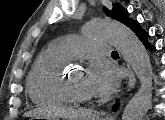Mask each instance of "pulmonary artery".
Listing matches in <instances>:
<instances>
[{
	"label": "pulmonary artery",
	"instance_id": "obj_1",
	"mask_svg": "<svg viewBox=\"0 0 165 120\" xmlns=\"http://www.w3.org/2000/svg\"><path fill=\"white\" fill-rule=\"evenodd\" d=\"M53 46H55L69 59L81 58L94 54H110L109 46L107 43L74 36H64L58 38L53 43Z\"/></svg>",
	"mask_w": 165,
	"mask_h": 120
}]
</instances>
